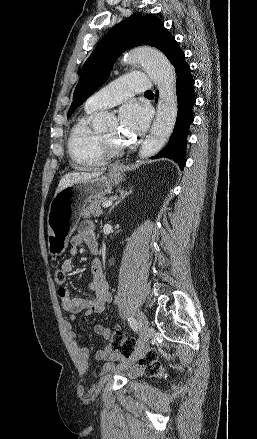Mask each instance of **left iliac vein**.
<instances>
[{
	"instance_id": "1",
	"label": "left iliac vein",
	"mask_w": 257,
	"mask_h": 439,
	"mask_svg": "<svg viewBox=\"0 0 257 439\" xmlns=\"http://www.w3.org/2000/svg\"><path fill=\"white\" fill-rule=\"evenodd\" d=\"M138 326H139V333H140V346L144 347L148 344L149 338L151 336V330L149 327L148 320L146 316L142 313H138ZM138 357V354L134 356L136 359Z\"/></svg>"
}]
</instances>
